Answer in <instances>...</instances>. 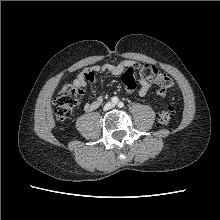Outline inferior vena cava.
I'll list each match as a JSON object with an SVG mask.
<instances>
[{"label":"inferior vena cava","mask_w":220,"mask_h":220,"mask_svg":"<svg viewBox=\"0 0 220 220\" xmlns=\"http://www.w3.org/2000/svg\"><path fill=\"white\" fill-rule=\"evenodd\" d=\"M114 107V105L112 104V103H107L105 106H104V110L106 111V110H109V109H111V108H113Z\"/></svg>","instance_id":"inferior-vena-cava-1"}]
</instances>
